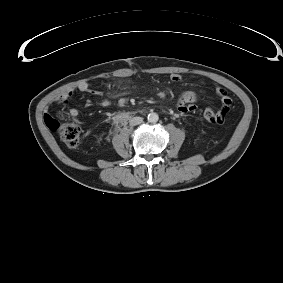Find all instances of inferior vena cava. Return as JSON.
<instances>
[{"mask_svg": "<svg viewBox=\"0 0 283 283\" xmlns=\"http://www.w3.org/2000/svg\"><path fill=\"white\" fill-rule=\"evenodd\" d=\"M143 122V118L142 117H133L132 119H130L129 123L131 126H135V125H139Z\"/></svg>", "mask_w": 283, "mask_h": 283, "instance_id": "obj_1", "label": "inferior vena cava"}]
</instances>
